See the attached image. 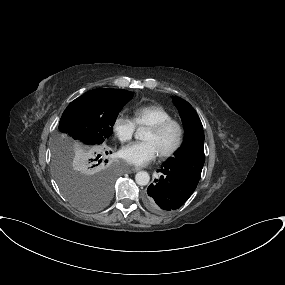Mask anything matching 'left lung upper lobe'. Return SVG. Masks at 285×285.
Returning <instances> with one entry per match:
<instances>
[{"label":"left lung upper lobe","mask_w":285,"mask_h":285,"mask_svg":"<svg viewBox=\"0 0 285 285\" xmlns=\"http://www.w3.org/2000/svg\"><path fill=\"white\" fill-rule=\"evenodd\" d=\"M184 127V141L181 147L164 165L183 170L200 179L205 162L204 131L194 108L180 97H173Z\"/></svg>","instance_id":"5c2ea615"}]
</instances>
